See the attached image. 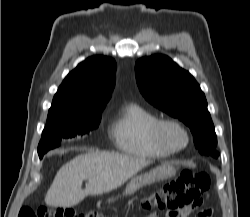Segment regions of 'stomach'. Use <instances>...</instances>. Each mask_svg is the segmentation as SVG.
<instances>
[{
  "instance_id": "stomach-1",
  "label": "stomach",
  "mask_w": 250,
  "mask_h": 217,
  "mask_svg": "<svg viewBox=\"0 0 250 217\" xmlns=\"http://www.w3.org/2000/svg\"><path fill=\"white\" fill-rule=\"evenodd\" d=\"M175 168L173 165L165 163L157 166L145 174L135 175L126 187L125 194L132 195L138 189L152 184L156 181L171 177L175 174ZM114 201V199H108V202Z\"/></svg>"
}]
</instances>
